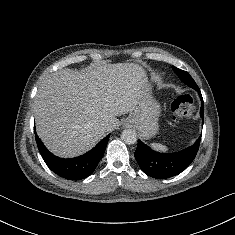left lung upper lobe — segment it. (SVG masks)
<instances>
[{
  "mask_svg": "<svg viewBox=\"0 0 235 235\" xmlns=\"http://www.w3.org/2000/svg\"><path fill=\"white\" fill-rule=\"evenodd\" d=\"M173 70L175 71V73L181 78V80L184 82L186 80L189 81V84H187L188 86H190L191 88L197 87V84L195 83V81L193 80V78L190 76V74L186 71H183L181 69H178L176 67H172ZM186 84V83H185Z\"/></svg>",
  "mask_w": 235,
  "mask_h": 235,
  "instance_id": "1",
  "label": "left lung upper lobe"
}]
</instances>
